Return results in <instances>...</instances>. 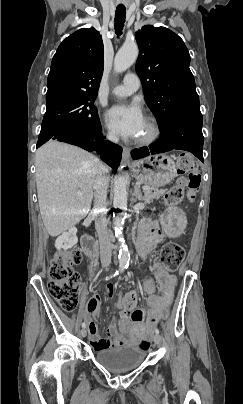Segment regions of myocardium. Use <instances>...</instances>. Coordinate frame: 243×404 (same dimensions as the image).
<instances>
[{"label":"myocardium","instance_id":"obj_1","mask_svg":"<svg viewBox=\"0 0 243 404\" xmlns=\"http://www.w3.org/2000/svg\"><path fill=\"white\" fill-rule=\"evenodd\" d=\"M130 43L131 41L128 39L126 45H129ZM147 122L149 124L148 134L144 138L136 141L138 146H151L156 143L162 135L161 125L155 117H147Z\"/></svg>","mask_w":243,"mask_h":404}]
</instances>
